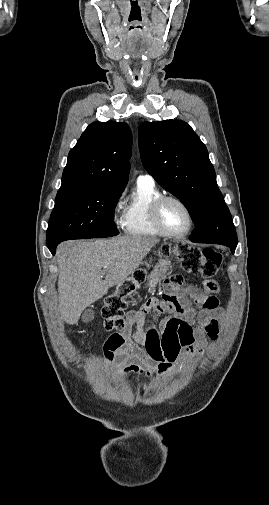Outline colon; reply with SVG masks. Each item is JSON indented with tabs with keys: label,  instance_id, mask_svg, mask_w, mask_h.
I'll list each match as a JSON object with an SVG mask.
<instances>
[{
	"label": "colon",
	"instance_id": "obj_1",
	"mask_svg": "<svg viewBox=\"0 0 269 505\" xmlns=\"http://www.w3.org/2000/svg\"><path fill=\"white\" fill-rule=\"evenodd\" d=\"M174 253L181 261L187 274H202L204 281H215L223 265L222 253L213 249H201L194 246L180 244L172 250H166L165 255ZM146 273L143 269L135 271L123 280L117 290L105 299L102 316L107 331H114L110 336H118L128 332L130 326L124 318L127 298L132 296L145 281Z\"/></svg>",
	"mask_w": 269,
	"mask_h": 505
}]
</instances>
